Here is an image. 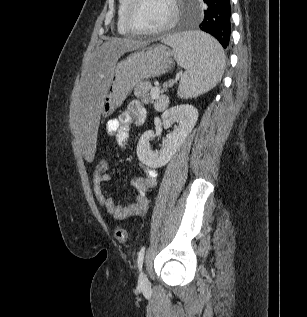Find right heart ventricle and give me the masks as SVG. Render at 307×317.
I'll return each mask as SVG.
<instances>
[{
  "label": "right heart ventricle",
  "mask_w": 307,
  "mask_h": 317,
  "mask_svg": "<svg viewBox=\"0 0 307 317\" xmlns=\"http://www.w3.org/2000/svg\"><path fill=\"white\" fill-rule=\"evenodd\" d=\"M127 4V0H118V8H117V31L121 35H131L132 33L126 28L124 23V10Z\"/></svg>",
  "instance_id": "right-heart-ventricle-1"
}]
</instances>
